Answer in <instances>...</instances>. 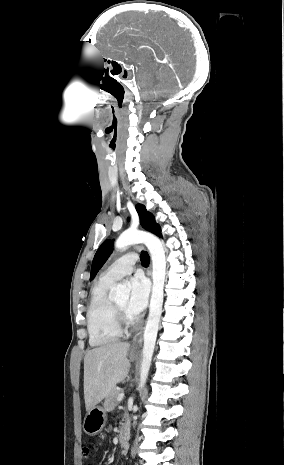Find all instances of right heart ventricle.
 I'll use <instances>...</instances> for the list:
<instances>
[{
	"label": "right heart ventricle",
	"mask_w": 284,
	"mask_h": 465,
	"mask_svg": "<svg viewBox=\"0 0 284 465\" xmlns=\"http://www.w3.org/2000/svg\"><path fill=\"white\" fill-rule=\"evenodd\" d=\"M110 282L101 279L93 287L86 309L87 331L91 346H109L120 338L112 302L107 295Z\"/></svg>",
	"instance_id": "e07e8e85"
}]
</instances>
